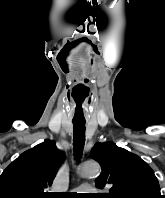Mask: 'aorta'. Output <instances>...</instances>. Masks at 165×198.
Returning <instances> with one entry per match:
<instances>
[{"label":"aorta","mask_w":165,"mask_h":198,"mask_svg":"<svg viewBox=\"0 0 165 198\" xmlns=\"http://www.w3.org/2000/svg\"><path fill=\"white\" fill-rule=\"evenodd\" d=\"M101 169L99 164L97 163H92V162H87L84 163L80 168H79V175L81 177H89V176H96L100 173Z\"/></svg>","instance_id":"762f6f07"}]
</instances>
